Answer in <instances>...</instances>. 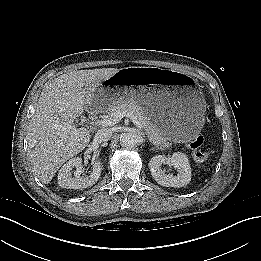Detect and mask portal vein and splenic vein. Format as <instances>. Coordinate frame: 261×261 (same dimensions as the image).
<instances>
[{
  "label": "portal vein and splenic vein",
  "mask_w": 261,
  "mask_h": 261,
  "mask_svg": "<svg viewBox=\"0 0 261 261\" xmlns=\"http://www.w3.org/2000/svg\"><path fill=\"white\" fill-rule=\"evenodd\" d=\"M123 117H128L132 120L134 125L138 127L139 129H142V125L140 121L137 119V117L132 113L127 110L124 111H118L114 114L109 115L107 118L97 120L96 124L102 125V126H113L116 123L120 122ZM69 129H76L75 125H72L69 127Z\"/></svg>",
  "instance_id": "18ae733b"
}]
</instances>
